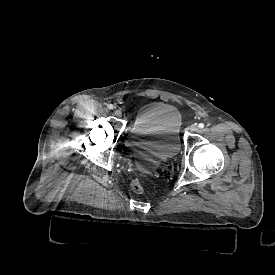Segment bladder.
<instances>
[{
    "label": "bladder",
    "instance_id": "1",
    "mask_svg": "<svg viewBox=\"0 0 275 275\" xmlns=\"http://www.w3.org/2000/svg\"><path fill=\"white\" fill-rule=\"evenodd\" d=\"M180 125V113L170 104L153 102L138 108L128 151L140 171L151 172L158 161L178 155Z\"/></svg>",
    "mask_w": 275,
    "mask_h": 275
}]
</instances>
